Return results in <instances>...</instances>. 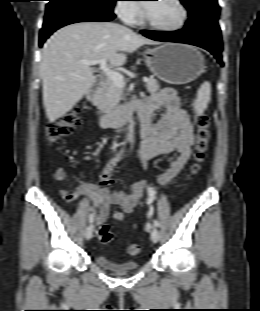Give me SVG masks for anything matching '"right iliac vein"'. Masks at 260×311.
Segmentation results:
<instances>
[{"label":"right iliac vein","mask_w":260,"mask_h":311,"mask_svg":"<svg viewBox=\"0 0 260 311\" xmlns=\"http://www.w3.org/2000/svg\"><path fill=\"white\" fill-rule=\"evenodd\" d=\"M93 231H94V228H93V225H89L86 230H85V238L87 240H90L93 236Z\"/></svg>","instance_id":"obj_1"}]
</instances>
